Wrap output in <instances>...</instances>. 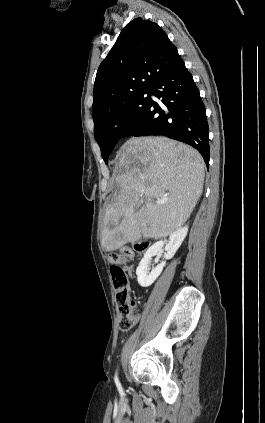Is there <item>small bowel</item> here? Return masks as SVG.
<instances>
[{"label": "small bowel", "mask_w": 265, "mask_h": 423, "mask_svg": "<svg viewBox=\"0 0 265 423\" xmlns=\"http://www.w3.org/2000/svg\"><path fill=\"white\" fill-rule=\"evenodd\" d=\"M126 270L131 275V267H126Z\"/></svg>", "instance_id": "small-bowel-1"}]
</instances>
